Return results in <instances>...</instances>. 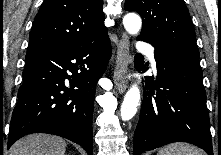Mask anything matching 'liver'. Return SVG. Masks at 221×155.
<instances>
[{"label":"liver","instance_id":"liver-1","mask_svg":"<svg viewBox=\"0 0 221 155\" xmlns=\"http://www.w3.org/2000/svg\"><path fill=\"white\" fill-rule=\"evenodd\" d=\"M66 142L47 134H30L15 142L9 155H64Z\"/></svg>","mask_w":221,"mask_h":155}]
</instances>
